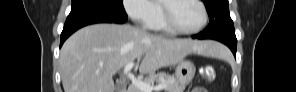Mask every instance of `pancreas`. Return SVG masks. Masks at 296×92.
I'll return each mask as SVG.
<instances>
[{
	"instance_id": "obj_1",
	"label": "pancreas",
	"mask_w": 296,
	"mask_h": 92,
	"mask_svg": "<svg viewBox=\"0 0 296 92\" xmlns=\"http://www.w3.org/2000/svg\"><path fill=\"white\" fill-rule=\"evenodd\" d=\"M144 82L149 84H153L154 82H157L159 84L165 83V92H183L185 89V86L180 85L175 77L166 74L150 75L149 77L144 79ZM130 90L131 92H142V90L135 85H133Z\"/></svg>"
}]
</instances>
